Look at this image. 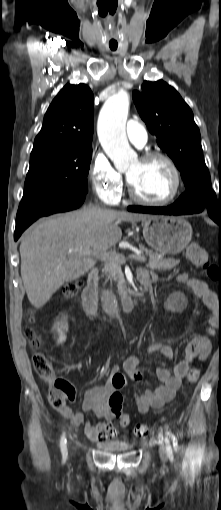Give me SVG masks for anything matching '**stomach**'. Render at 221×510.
<instances>
[{"mask_svg":"<svg viewBox=\"0 0 221 510\" xmlns=\"http://www.w3.org/2000/svg\"><path fill=\"white\" fill-rule=\"evenodd\" d=\"M143 236L156 252L176 255L191 241L192 227L181 217L153 216L144 221Z\"/></svg>","mask_w":221,"mask_h":510,"instance_id":"1","label":"stomach"}]
</instances>
